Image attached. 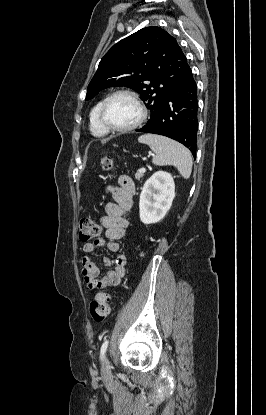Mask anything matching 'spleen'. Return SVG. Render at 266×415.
<instances>
[{
    "label": "spleen",
    "mask_w": 266,
    "mask_h": 415,
    "mask_svg": "<svg viewBox=\"0 0 266 415\" xmlns=\"http://www.w3.org/2000/svg\"><path fill=\"white\" fill-rule=\"evenodd\" d=\"M138 141L149 145L154 152L152 159L154 165H172L184 179L190 177L193 161L189 150L183 145L167 137L154 134L141 135Z\"/></svg>",
    "instance_id": "3e777b00"
}]
</instances>
